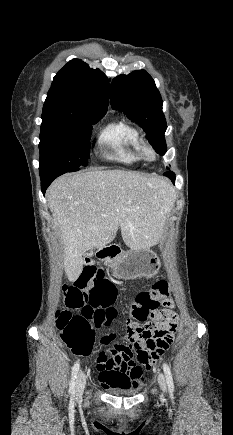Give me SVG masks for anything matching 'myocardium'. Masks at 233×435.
Instances as JSON below:
<instances>
[{"instance_id": "f54148a6", "label": "myocardium", "mask_w": 233, "mask_h": 435, "mask_svg": "<svg viewBox=\"0 0 233 435\" xmlns=\"http://www.w3.org/2000/svg\"><path fill=\"white\" fill-rule=\"evenodd\" d=\"M143 152H144L145 157H146L148 160L153 161V160H155L156 157H157V153H156L154 147L151 146V145H149V144H144V145H143Z\"/></svg>"}]
</instances>
